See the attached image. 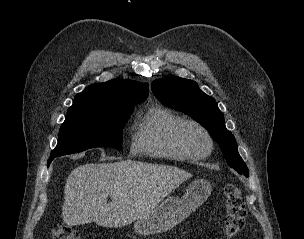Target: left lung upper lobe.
<instances>
[{
  "label": "left lung upper lobe",
  "instance_id": "1",
  "mask_svg": "<svg viewBox=\"0 0 304 239\" xmlns=\"http://www.w3.org/2000/svg\"><path fill=\"white\" fill-rule=\"evenodd\" d=\"M151 88L166 106L184 112L205 127L220 145L228 165L248 177L249 171L238 153L236 140L226 129L214 98L202 92L196 82L179 77L157 79Z\"/></svg>",
  "mask_w": 304,
  "mask_h": 239
}]
</instances>
